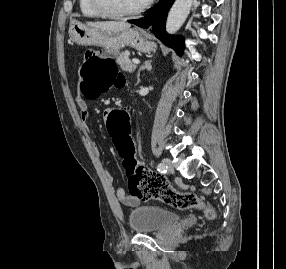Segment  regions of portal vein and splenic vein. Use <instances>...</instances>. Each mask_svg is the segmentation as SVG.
Listing matches in <instances>:
<instances>
[{"label":"portal vein and splenic vein","instance_id":"18ae733b","mask_svg":"<svg viewBox=\"0 0 286 269\" xmlns=\"http://www.w3.org/2000/svg\"><path fill=\"white\" fill-rule=\"evenodd\" d=\"M132 62H133L134 64H139V63H140V61H139L138 59H133Z\"/></svg>","mask_w":286,"mask_h":269}]
</instances>
